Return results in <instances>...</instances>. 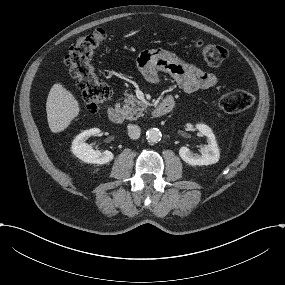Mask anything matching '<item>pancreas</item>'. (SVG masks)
<instances>
[{
	"instance_id": "pancreas-1",
	"label": "pancreas",
	"mask_w": 285,
	"mask_h": 285,
	"mask_svg": "<svg viewBox=\"0 0 285 285\" xmlns=\"http://www.w3.org/2000/svg\"><path fill=\"white\" fill-rule=\"evenodd\" d=\"M125 96L122 114L128 120H137L142 116L144 110L147 108V105L144 102L139 101L132 94H125Z\"/></svg>"
}]
</instances>
